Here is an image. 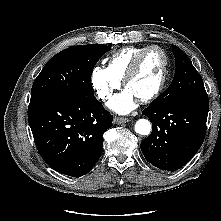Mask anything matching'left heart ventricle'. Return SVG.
Instances as JSON below:
<instances>
[{
    "instance_id": "left-heart-ventricle-1",
    "label": "left heart ventricle",
    "mask_w": 221,
    "mask_h": 221,
    "mask_svg": "<svg viewBox=\"0 0 221 221\" xmlns=\"http://www.w3.org/2000/svg\"><path fill=\"white\" fill-rule=\"evenodd\" d=\"M163 63V57L157 50H152L144 56L138 72L126 86L136 99L150 94L156 88L162 74Z\"/></svg>"
}]
</instances>
